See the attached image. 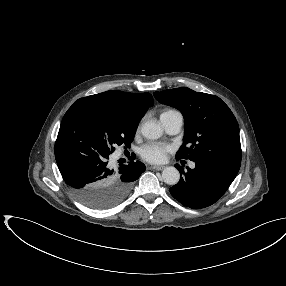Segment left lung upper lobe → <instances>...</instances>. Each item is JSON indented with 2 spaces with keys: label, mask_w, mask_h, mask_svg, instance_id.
Here are the masks:
<instances>
[{
  "label": "left lung upper lobe",
  "mask_w": 286,
  "mask_h": 286,
  "mask_svg": "<svg viewBox=\"0 0 286 286\" xmlns=\"http://www.w3.org/2000/svg\"><path fill=\"white\" fill-rule=\"evenodd\" d=\"M162 104L180 110L185 121L184 142L177 159L216 161L240 168L239 126L229 107L217 96L187 87L154 93Z\"/></svg>",
  "instance_id": "obj_1"
}]
</instances>
